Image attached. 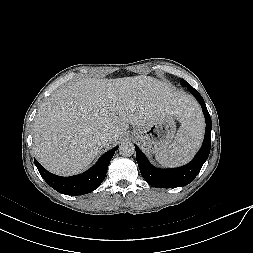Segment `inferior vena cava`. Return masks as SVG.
I'll return each mask as SVG.
<instances>
[{"label":"inferior vena cava","instance_id":"1","mask_svg":"<svg viewBox=\"0 0 253 253\" xmlns=\"http://www.w3.org/2000/svg\"><path fill=\"white\" fill-rule=\"evenodd\" d=\"M111 134L108 133V132H104V133H101L100 136H99V139H100V142L103 144V145H106L108 142L111 141Z\"/></svg>","mask_w":253,"mask_h":253}]
</instances>
